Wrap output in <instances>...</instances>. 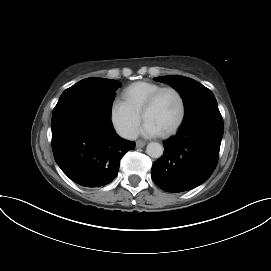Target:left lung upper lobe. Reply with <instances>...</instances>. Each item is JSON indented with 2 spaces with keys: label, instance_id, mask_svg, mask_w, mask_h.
Wrapping results in <instances>:
<instances>
[{
  "label": "left lung upper lobe",
  "instance_id": "left-lung-upper-lobe-1",
  "mask_svg": "<svg viewBox=\"0 0 271 271\" xmlns=\"http://www.w3.org/2000/svg\"><path fill=\"white\" fill-rule=\"evenodd\" d=\"M155 80L169 84L181 94L185 107V120L199 112L218 110L212 91L191 78L170 75L156 77Z\"/></svg>",
  "mask_w": 271,
  "mask_h": 271
}]
</instances>
